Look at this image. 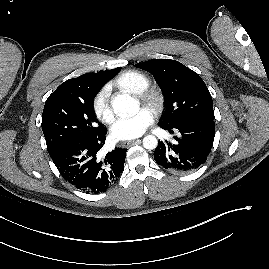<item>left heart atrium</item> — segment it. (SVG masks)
Wrapping results in <instances>:
<instances>
[{"label":"left heart atrium","mask_w":269,"mask_h":269,"mask_svg":"<svg viewBox=\"0 0 269 269\" xmlns=\"http://www.w3.org/2000/svg\"><path fill=\"white\" fill-rule=\"evenodd\" d=\"M153 121V113L141 108L133 116L117 120L112 127V136L116 140L134 139L141 136Z\"/></svg>","instance_id":"obj_1"}]
</instances>
